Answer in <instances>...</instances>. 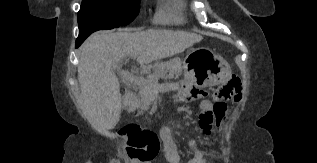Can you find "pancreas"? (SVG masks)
<instances>
[{"mask_svg": "<svg viewBox=\"0 0 317 163\" xmlns=\"http://www.w3.org/2000/svg\"><path fill=\"white\" fill-rule=\"evenodd\" d=\"M150 68L153 69V73H149L145 78L146 82L139 86V100L131 110L138 108L140 113L147 110L162 91V87L158 83L159 78L165 80L178 78L182 73V61L180 58H174L164 63L157 62Z\"/></svg>", "mask_w": 317, "mask_h": 163, "instance_id": "cf45deb5", "label": "pancreas"}]
</instances>
